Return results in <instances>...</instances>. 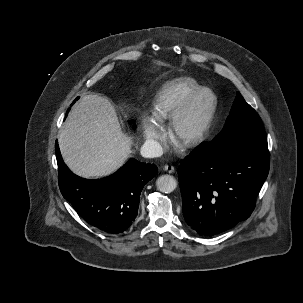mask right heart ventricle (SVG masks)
I'll return each mask as SVG.
<instances>
[{
    "mask_svg": "<svg viewBox=\"0 0 303 303\" xmlns=\"http://www.w3.org/2000/svg\"><path fill=\"white\" fill-rule=\"evenodd\" d=\"M200 87L197 81L188 77H179L166 82L156 93L152 102L154 119L159 123L169 120Z\"/></svg>",
    "mask_w": 303,
    "mask_h": 303,
    "instance_id": "obj_1",
    "label": "right heart ventricle"
}]
</instances>
